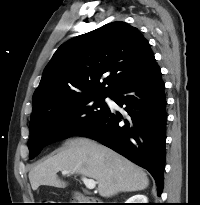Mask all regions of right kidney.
I'll use <instances>...</instances> for the list:
<instances>
[{"label":"right kidney","instance_id":"ca27d5eb","mask_svg":"<svg viewBox=\"0 0 200 205\" xmlns=\"http://www.w3.org/2000/svg\"><path fill=\"white\" fill-rule=\"evenodd\" d=\"M125 203H148V198L145 195L137 194L130 197Z\"/></svg>","mask_w":200,"mask_h":205}]
</instances>
